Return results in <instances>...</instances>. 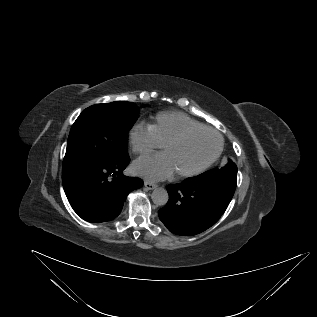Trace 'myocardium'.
<instances>
[{
    "mask_svg": "<svg viewBox=\"0 0 317 317\" xmlns=\"http://www.w3.org/2000/svg\"><path fill=\"white\" fill-rule=\"evenodd\" d=\"M200 132H211V133L215 134L218 137L219 145H218L217 150L215 151V153L206 162H204L203 164H201L197 168L189 170V171L176 172L175 175L177 177L186 178V177L196 176V175L204 172L205 170H207L209 167H211L216 162V160L219 158V156L221 155V153L223 151V148H224L223 136L216 129L211 128V127H207V126L198 127V128H188V129L180 132L176 136H174V137L170 138L169 140H167L162 145L163 146V151H165L170 146H173V145L181 143L182 141H184L190 135H193L195 133H200Z\"/></svg>",
    "mask_w": 317,
    "mask_h": 317,
    "instance_id": "obj_1",
    "label": "myocardium"
}]
</instances>
